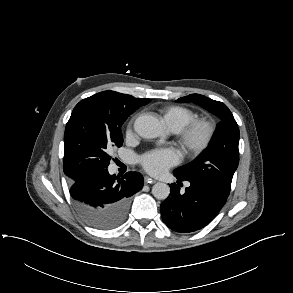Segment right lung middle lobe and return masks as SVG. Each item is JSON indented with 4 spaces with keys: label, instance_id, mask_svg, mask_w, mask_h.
Segmentation results:
<instances>
[{
    "label": "right lung middle lobe",
    "instance_id": "right-lung-middle-lobe-1",
    "mask_svg": "<svg viewBox=\"0 0 293 293\" xmlns=\"http://www.w3.org/2000/svg\"><path fill=\"white\" fill-rule=\"evenodd\" d=\"M137 108L99 93L75 106L64 134L63 170L72 181L91 170L108 167L111 160L108 150L112 146H122L121 126ZM80 215L90 225L101 229L115 228L123 221L117 214Z\"/></svg>",
    "mask_w": 293,
    "mask_h": 293
}]
</instances>
